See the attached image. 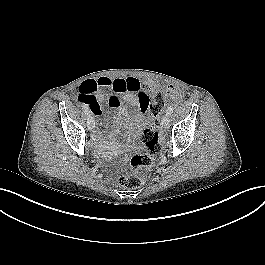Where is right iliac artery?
<instances>
[{
	"label": "right iliac artery",
	"instance_id": "obj_1",
	"mask_svg": "<svg viewBox=\"0 0 265 265\" xmlns=\"http://www.w3.org/2000/svg\"><path fill=\"white\" fill-rule=\"evenodd\" d=\"M82 107H83V111H84L85 115H89L90 116V110L88 109V107H86L84 105Z\"/></svg>",
	"mask_w": 265,
	"mask_h": 265
}]
</instances>
